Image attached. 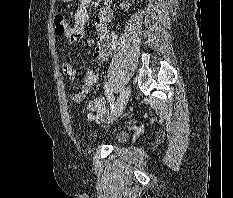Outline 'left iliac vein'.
<instances>
[{
    "label": "left iliac vein",
    "instance_id": "1",
    "mask_svg": "<svg viewBox=\"0 0 233 198\" xmlns=\"http://www.w3.org/2000/svg\"><path fill=\"white\" fill-rule=\"evenodd\" d=\"M130 93H131V87L130 86H126L124 87L118 97L116 106L114 111L111 113L108 122H114L115 120L118 119V117L122 114V112L124 111L126 104L129 100L130 97Z\"/></svg>",
    "mask_w": 233,
    "mask_h": 198
}]
</instances>
